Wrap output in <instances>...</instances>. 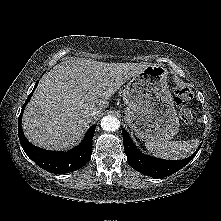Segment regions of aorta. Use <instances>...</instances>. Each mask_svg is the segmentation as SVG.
<instances>
[{"mask_svg": "<svg viewBox=\"0 0 221 221\" xmlns=\"http://www.w3.org/2000/svg\"><path fill=\"white\" fill-rule=\"evenodd\" d=\"M101 127L105 131H115L120 127V121L112 115H107L102 118Z\"/></svg>", "mask_w": 221, "mask_h": 221, "instance_id": "aorta-1", "label": "aorta"}]
</instances>
